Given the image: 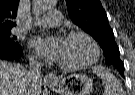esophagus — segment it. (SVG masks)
<instances>
[{
    "mask_svg": "<svg viewBox=\"0 0 135 95\" xmlns=\"http://www.w3.org/2000/svg\"><path fill=\"white\" fill-rule=\"evenodd\" d=\"M44 79H45L47 82H57V81H58L56 75H55L54 73H52V72H47V73L45 74Z\"/></svg>",
    "mask_w": 135,
    "mask_h": 95,
    "instance_id": "34e87169",
    "label": "esophagus"
}]
</instances>
